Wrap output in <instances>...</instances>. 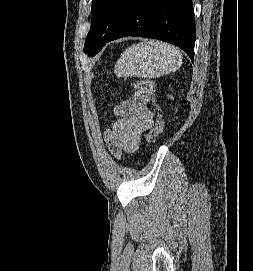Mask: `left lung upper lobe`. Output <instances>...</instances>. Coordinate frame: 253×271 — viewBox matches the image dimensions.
Listing matches in <instances>:
<instances>
[{
  "mask_svg": "<svg viewBox=\"0 0 253 271\" xmlns=\"http://www.w3.org/2000/svg\"><path fill=\"white\" fill-rule=\"evenodd\" d=\"M131 0H93L91 28L85 40L84 51L94 56L117 27L130 8Z\"/></svg>",
  "mask_w": 253,
  "mask_h": 271,
  "instance_id": "left-lung-upper-lobe-1",
  "label": "left lung upper lobe"
}]
</instances>
